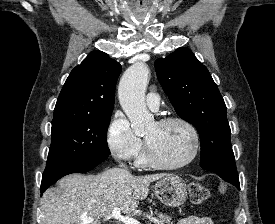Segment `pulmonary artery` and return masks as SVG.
Returning a JSON list of instances; mask_svg holds the SVG:
<instances>
[{
    "label": "pulmonary artery",
    "instance_id": "1",
    "mask_svg": "<svg viewBox=\"0 0 275 224\" xmlns=\"http://www.w3.org/2000/svg\"><path fill=\"white\" fill-rule=\"evenodd\" d=\"M160 95L158 93L150 92L146 98L147 106L152 110H158L160 107Z\"/></svg>",
    "mask_w": 275,
    "mask_h": 224
}]
</instances>
